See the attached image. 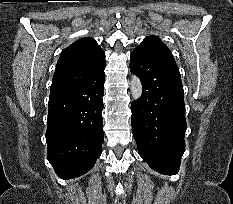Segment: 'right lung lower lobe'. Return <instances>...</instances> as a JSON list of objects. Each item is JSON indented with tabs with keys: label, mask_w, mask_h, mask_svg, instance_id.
<instances>
[{
	"label": "right lung lower lobe",
	"mask_w": 233,
	"mask_h": 204,
	"mask_svg": "<svg viewBox=\"0 0 233 204\" xmlns=\"http://www.w3.org/2000/svg\"><path fill=\"white\" fill-rule=\"evenodd\" d=\"M104 68L86 83L50 94L47 158L62 179L85 174L101 154Z\"/></svg>",
	"instance_id": "98d812e1"
}]
</instances>
